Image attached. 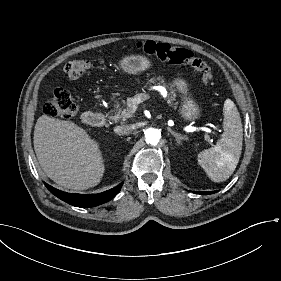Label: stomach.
<instances>
[{
  "label": "stomach",
  "mask_w": 281,
  "mask_h": 281,
  "mask_svg": "<svg viewBox=\"0 0 281 281\" xmlns=\"http://www.w3.org/2000/svg\"><path fill=\"white\" fill-rule=\"evenodd\" d=\"M118 66L122 73L137 76L150 70L153 60L144 54L130 53L118 60ZM171 84L175 93L180 97L179 115L185 121L197 122L203 117V110L191 91L190 82L181 75L173 76Z\"/></svg>",
  "instance_id": "stomach-1"
}]
</instances>
